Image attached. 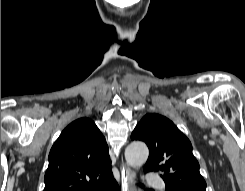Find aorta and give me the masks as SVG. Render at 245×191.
<instances>
[{
	"instance_id": "762f6f07",
	"label": "aorta",
	"mask_w": 245,
	"mask_h": 191,
	"mask_svg": "<svg viewBox=\"0 0 245 191\" xmlns=\"http://www.w3.org/2000/svg\"><path fill=\"white\" fill-rule=\"evenodd\" d=\"M149 155L148 147L143 142H132L125 150L126 162L133 168L141 167Z\"/></svg>"
}]
</instances>
